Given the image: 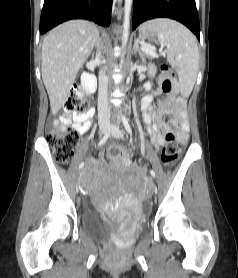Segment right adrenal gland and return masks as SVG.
<instances>
[{"instance_id": "1", "label": "right adrenal gland", "mask_w": 238, "mask_h": 278, "mask_svg": "<svg viewBox=\"0 0 238 278\" xmlns=\"http://www.w3.org/2000/svg\"><path fill=\"white\" fill-rule=\"evenodd\" d=\"M96 47H97V48H102V47H103L102 38H99V39H98V42H97V44H96Z\"/></svg>"}]
</instances>
